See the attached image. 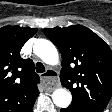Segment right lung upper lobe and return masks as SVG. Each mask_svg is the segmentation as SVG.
<instances>
[{
    "label": "right lung upper lobe",
    "instance_id": "obj_1",
    "mask_svg": "<svg viewBox=\"0 0 112 112\" xmlns=\"http://www.w3.org/2000/svg\"><path fill=\"white\" fill-rule=\"evenodd\" d=\"M37 32L36 28H0V112H32L39 94L38 74L31 59H22L20 50Z\"/></svg>",
    "mask_w": 112,
    "mask_h": 112
}]
</instances>
